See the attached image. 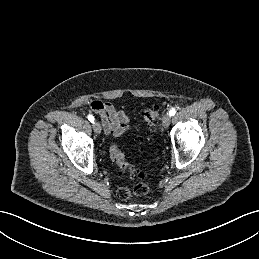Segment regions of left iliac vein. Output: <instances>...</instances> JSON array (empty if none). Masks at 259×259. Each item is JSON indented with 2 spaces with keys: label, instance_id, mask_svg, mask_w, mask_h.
I'll list each match as a JSON object with an SVG mask.
<instances>
[{
  "label": "left iliac vein",
  "instance_id": "4c4485c4",
  "mask_svg": "<svg viewBox=\"0 0 259 259\" xmlns=\"http://www.w3.org/2000/svg\"><path fill=\"white\" fill-rule=\"evenodd\" d=\"M171 122V116L169 114H165L162 118V125L164 128H168Z\"/></svg>",
  "mask_w": 259,
  "mask_h": 259
}]
</instances>
